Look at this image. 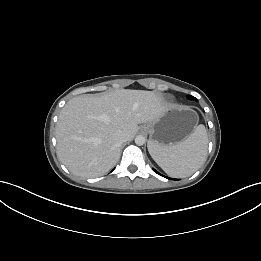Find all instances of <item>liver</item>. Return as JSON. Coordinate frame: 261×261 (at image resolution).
Segmentation results:
<instances>
[{
	"label": "liver",
	"mask_w": 261,
	"mask_h": 261,
	"mask_svg": "<svg viewBox=\"0 0 261 261\" xmlns=\"http://www.w3.org/2000/svg\"><path fill=\"white\" fill-rule=\"evenodd\" d=\"M170 106L152 91L121 89L103 95H82L62 108L56 126L57 155L75 175L98 177L120 157L117 131L126 141L138 124L157 119Z\"/></svg>",
	"instance_id": "obj_1"
}]
</instances>
